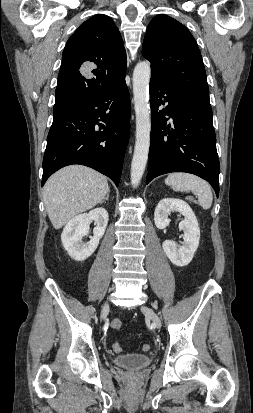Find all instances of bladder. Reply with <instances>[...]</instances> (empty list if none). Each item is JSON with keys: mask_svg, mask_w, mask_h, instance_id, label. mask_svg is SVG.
<instances>
[{"mask_svg": "<svg viewBox=\"0 0 253 413\" xmlns=\"http://www.w3.org/2000/svg\"><path fill=\"white\" fill-rule=\"evenodd\" d=\"M115 365L126 369H142L151 364L152 358L147 354H121L113 358Z\"/></svg>", "mask_w": 253, "mask_h": 413, "instance_id": "bladder-1", "label": "bladder"}]
</instances>
